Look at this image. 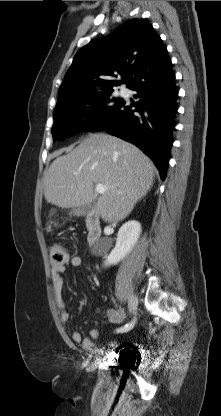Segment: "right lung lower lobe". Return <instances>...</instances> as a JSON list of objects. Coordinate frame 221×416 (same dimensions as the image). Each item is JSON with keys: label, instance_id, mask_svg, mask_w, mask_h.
<instances>
[{"label": "right lung lower lobe", "instance_id": "obj_1", "mask_svg": "<svg viewBox=\"0 0 221 416\" xmlns=\"http://www.w3.org/2000/svg\"><path fill=\"white\" fill-rule=\"evenodd\" d=\"M130 89L138 92L137 104L123 100L116 114L96 131L105 130L139 147L154 161L164 180L177 113L175 75L171 69L163 77H150Z\"/></svg>", "mask_w": 221, "mask_h": 416}]
</instances>
